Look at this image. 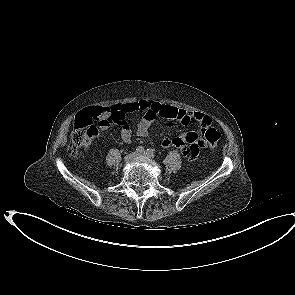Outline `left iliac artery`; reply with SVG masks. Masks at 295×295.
<instances>
[{
  "label": "left iliac artery",
  "mask_w": 295,
  "mask_h": 295,
  "mask_svg": "<svg viewBox=\"0 0 295 295\" xmlns=\"http://www.w3.org/2000/svg\"><path fill=\"white\" fill-rule=\"evenodd\" d=\"M146 153L150 156V157H154L155 154H154V150L153 149H147Z\"/></svg>",
  "instance_id": "44dca946"
}]
</instances>
